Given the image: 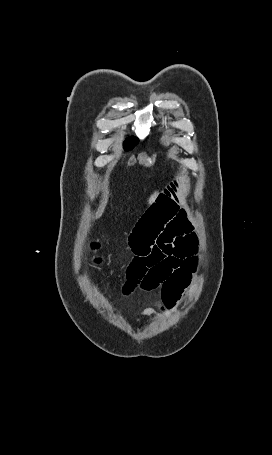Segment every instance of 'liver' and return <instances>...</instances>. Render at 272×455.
<instances>
[{"label": "liver", "instance_id": "6515ba94", "mask_svg": "<svg viewBox=\"0 0 272 455\" xmlns=\"http://www.w3.org/2000/svg\"><path fill=\"white\" fill-rule=\"evenodd\" d=\"M157 196H158V192H154V193L150 196V198H149V200H148L149 204H152V203L155 201V199H156ZM103 209H104V205H102L100 212H98V213H100L99 216H100L101 213L103 212ZM98 213H97V215H98Z\"/></svg>", "mask_w": 272, "mask_h": 455}]
</instances>
